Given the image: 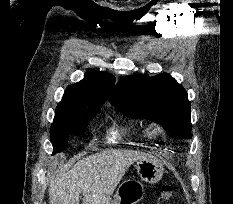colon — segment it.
Masks as SVG:
<instances>
[{
	"mask_svg": "<svg viewBox=\"0 0 233 204\" xmlns=\"http://www.w3.org/2000/svg\"><path fill=\"white\" fill-rule=\"evenodd\" d=\"M173 189L172 186L166 184L163 186L158 204H172Z\"/></svg>",
	"mask_w": 233,
	"mask_h": 204,
	"instance_id": "obj_1",
	"label": "colon"
}]
</instances>
